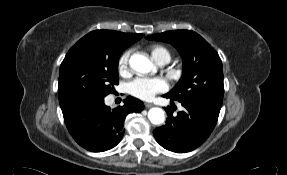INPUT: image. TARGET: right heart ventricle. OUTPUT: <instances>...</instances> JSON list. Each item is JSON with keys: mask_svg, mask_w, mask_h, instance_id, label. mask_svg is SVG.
Returning <instances> with one entry per match:
<instances>
[{"mask_svg": "<svg viewBox=\"0 0 287 175\" xmlns=\"http://www.w3.org/2000/svg\"><path fill=\"white\" fill-rule=\"evenodd\" d=\"M150 53H151L153 59L157 62L160 60H164V59L169 62L171 59L170 51L166 47L161 46V45L152 46L150 48Z\"/></svg>", "mask_w": 287, "mask_h": 175, "instance_id": "obj_1", "label": "right heart ventricle"}]
</instances>
